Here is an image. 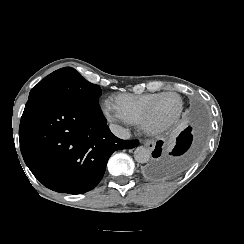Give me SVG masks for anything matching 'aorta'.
Returning a JSON list of instances; mask_svg holds the SVG:
<instances>
[{"mask_svg": "<svg viewBox=\"0 0 244 244\" xmlns=\"http://www.w3.org/2000/svg\"><path fill=\"white\" fill-rule=\"evenodd\" d=\"M150 157L151 152L147 147L138 146L134 151V158L138 163H147Z\"/></svg>", "mask_w": 244, "mask_h": 244, "instance_id": "1", "label": "aorta"}]
</instances>
